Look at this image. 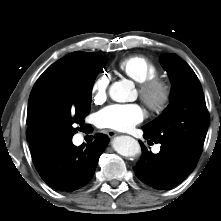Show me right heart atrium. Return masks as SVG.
Segmentation results:
<instances>
[{"instance_id":"1","label":"right heart atrium","mask_w":221,"mask_h":221,"mask_svg":"<svg viewBox=\"0 0 221 221\" xmlns=\"http://www.w3.org/2000/svg\"><path fill=\"white\" fill-rule=\"evenodd\" d=\"M108 87L109 77L106 74H101L94 80L91 86V93L95 103H103L106 100Z\"/></svg>"}]
</instances>
